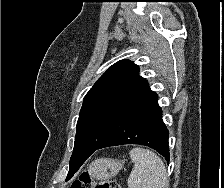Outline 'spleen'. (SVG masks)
Listing matches in <instances>:
<instances>
[{
    "label": "spleen",
    "instance_id": "3e777b00",
    "mask_svg": "<svg viewBox=\"0 0 224 188\" xmlns=\"http://www.w3.org/2000/svg\"><path fill=\"white\" fill-rule=\"evenodd\" d=\"M134 163L128 178V188H169L167 172L161 158L154 152L141 147L130 151Z\"/></svg>",
    "mask_w": 224,
    "mask_h": 188
}]
</instances>
